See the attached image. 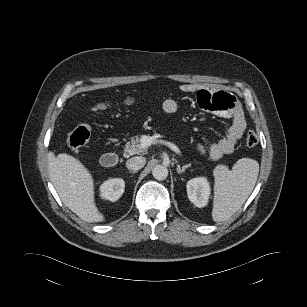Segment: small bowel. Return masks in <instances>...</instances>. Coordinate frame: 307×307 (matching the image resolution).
<instances>
[{
    "label": "small bowel",
    "mask_w": 307,
    "mask_h": 307,
    "mask_svg": "<svg viewBox=\"0 0 307 307\" xmlns=\"http://www.w3.org/2000/svg\"><path fill=\"white\" fill-rule=\"evenodd\" d=\"M180 90L186 94H196L197 103L201 108L231 121V125L223 138L213 142L208 147L198 145V150L212 160H218L231 153L246 129L244 115L234 96L224 91L211 92L207 88L191 83L182 84ZM162 109L169 114L175 113L178 109V103L176 100L168 98L163 101Z\"/></svg>",
    "instance_id": "1"
}]
</instances>
